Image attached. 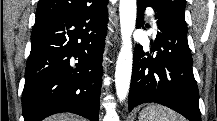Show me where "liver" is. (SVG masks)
Returning <instances> with one entry per match:
<instances>
[{
	"mask_svg": "<svg viewBox=\"0 0 217 121\" xmlns=\"http://www.w3.org/2000/svg\"><path fill=\"white\" fill-rule=\"evenodd\" d=\"M46 121H76V118L69 114H58L48 117Z\"/></svg>",
	"mask_w": 217,
	"mask_h": 121,
	"instance_id": "1",
	"label": "liver"
}]
</instances>
